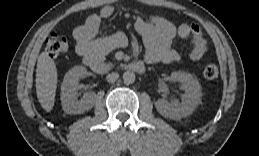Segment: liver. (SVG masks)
I'll return each instance as SVG.
<instances>
[{
	"mask_svg": "<svg viewBox=\"0 0 259 156\" xmlns=\"http://www.w3.org/2000/svg\"><path fill=\"white\" fill-rule=\"evenodd\" d=\"M36 93L42 108L50 112L53 109L57 89V69L47 52H42L37 60Z\"/></svg>",
	"mask_w": 259,
	"mask_h": 156,
	"instance_id": "liver-1",
	"label": "liver"
}]
</instances>
